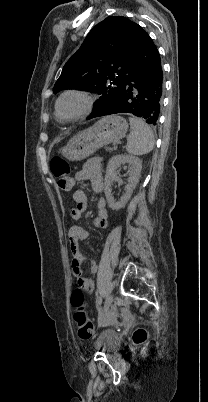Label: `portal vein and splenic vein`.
<instances>
[{
  "label": "portal vein and splenic vein",
  "mask_w": 208,
  "mask_h": 402,
  "mask_svg": "<svg viewBox=\"0 0 208 402\" xmlns=\"http://www.w3.org/2000/svg\"><path fill=\"white\" fill-rule=\"evenodd\" d=\"M113 148H114V150H117L118 145H117V144H114V145H113Z\"/></svg>",
  "instance_id": "1"
}]
</instances>
